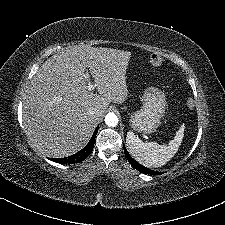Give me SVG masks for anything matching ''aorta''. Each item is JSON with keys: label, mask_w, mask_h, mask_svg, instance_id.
I'll list each match as a JSON object with an SVG mask.
<instances>
[{"label": "aorta", "mask_w": 225, "mask_h": 225, "mask_svg": "<svg viewBox=\"0 0 225 225\" xmlns=\"http://www.w3.org/2000/svg\"><path fill=\"white\" fill-rule=\"evenodd\" d=\"M105 124L109 127H115L118 124V118L114 113H108L105 116Z\"/></svg>", "instance_id": "1"}]
</instances>
